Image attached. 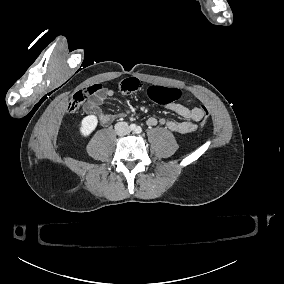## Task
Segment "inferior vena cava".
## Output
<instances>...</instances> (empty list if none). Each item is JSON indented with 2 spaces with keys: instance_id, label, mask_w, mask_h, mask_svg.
I'll return each mask as SVG.
<instances>
[{
  "instance_id": "1",
  "label": "inferior vena cava",
  "mask_w": 284,
  "mask_h": 284,
  "mask_svg": "<svg viewBox=\"0 0 284 284\" xmlns=\"http://www.w3.org/2000/svg\"><path fill=\"white\" fill-rule=\"evenodd\" d=\"M115 131L117 135L124 136L130 133V128L126 122H118L115 124Z\"/></svg>"
}]
</instances>
